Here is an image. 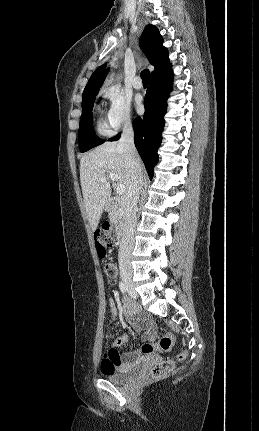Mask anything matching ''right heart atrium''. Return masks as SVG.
Here are the masks:
<instances>
[{
	"label": "right heart atrium",
	"mask_w": 259,
	"mask_h": 431,
	"mask_svg": "<svg viewBox=\"0 0 259 431\" xmlns=\"http://www.w3.org/2000/svg\"><path fill=\"white\" fill-rule=\"evenodd\" d=\"M108 100L106 111V126L111 133L132 124V112L129 100L115 87L107 85L101 91Z\"/></svg>",
	"instance_id": "d8ad5b80"
}]
</instances>
